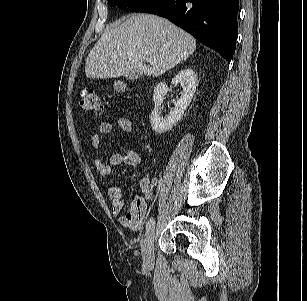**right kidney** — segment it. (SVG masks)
<instances>
[{
    "label": "right kidney",
    "instance_id": "ca27d5eb",
    "mask_svg": "<svg viewBox=\"0 0 307 301\" xmlns=\"http://www.w3.org/2000/svg\"><path fill=\"white\" fill-rule=\"evenodd\" d=\"M171 84H180L183 92L181 93V97L175 102V108L169 113L167 118L159 117V107L168 92V86L164 82L158 83L153 92L155 108L150 115V123L153 130L159 134L172 129L183 116L195 93L197 75L192 69L185 68L174 76Z\"/></svg>",
    "mask_w": 307,
    "mask_h": 301
}]
</instances>
